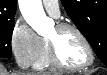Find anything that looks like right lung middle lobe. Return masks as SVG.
<instances>
[{
    "label": "right lung middle lobe",
    "instance_id": "right-lung-middle-lobe-1",
    "mask_svg": "<svg viewBox=\"0 0 107 75\" xmlns=\"http://www.w3.org/2000/svg\"><path fill=\"white\" fill-rule=\"evenodd\" d=\"M15 20L0 22V57H12L11 38Z\"/></svg>",
    "mask_w": 107,
    "mask_h": 75
}]
</instances>
